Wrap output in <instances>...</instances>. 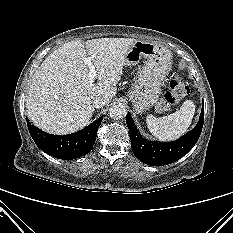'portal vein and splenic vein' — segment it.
Masks as SVG:
<instances>
[{"label":"portal vein and splenic vein","instance_id":"18ae733b","mask_svg":"<svg viewBox=\"0 0 233 233\" xmlns=\"http://www.w3.org/2000/svg\"><path fill=\"white\" fill-rule=\"evenodd\" d=\"M91 59H92L91 57H85L83 60L84 63L89 67V75H88L89 82L90 84H93L97 72L95 66L91 62Z\"/></svg>","mask_w":233,"mask_h":233}]
</instances>
